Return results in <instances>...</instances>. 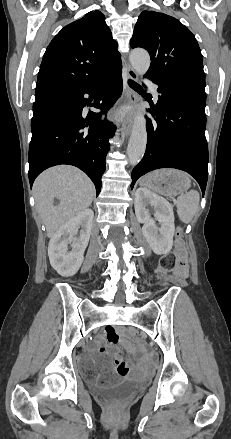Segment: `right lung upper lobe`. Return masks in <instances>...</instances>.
<instances>
[{
	"instance_id": "right-lung-upper-lobe-1",
	"label": "right lung upper lobe",
	"mask_w": 231,
	"mask_h": 439,
	"mask_svg": "<svg viewBox=\"0 0 231 439\" xmlns=\"http://www.w3.org/2000/svg\"><path fill=\"white\" fill-rule=\"evenodd\" d=\"M117 46L100 11H91L70 23L45 51L35 95L80 89L120 68Z\"/></svg>"
}]
</instances>
